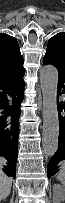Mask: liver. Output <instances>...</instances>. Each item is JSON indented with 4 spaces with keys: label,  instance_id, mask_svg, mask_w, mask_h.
Masks as SVG:
<instances>
[{
    "label": "liver",
    "instance_id": "liver-1",
    "mask_svg": "<svg viewBox=\"0 0 65 203\" xmlns=\"http://www.w3.org/2000/svg\"><path fill=\"white\" fill-rule=\"evenodd\" d=\"M1 164H5L6 160L4 158L0 159ZM12 186V179L6 176L4 173H0V199H6L10 192Z\"/></svg>",
    "mask_w": 65,
    "mask_h": 203
}]
</instances>
